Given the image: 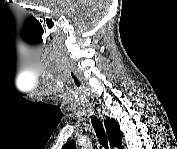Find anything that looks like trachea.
<instances>
[{
    "label": "trachea",
    "instance_id": "trachea-1",
    "mask_svg": "<svg viewBox=\"0 0 177 149\" xmlns=\"http://www.w3.org/2000/svg\"><path fill=\"white\" fill-rule=\"evenodd\" d=\"M91 123H92V126L94 128V131H95V133L98 137V140H99L100 144L105 149H108V141H107L106 135L104 133L102 123L100 122V120L95 115L91 116Z\"/></svg>",
    "mask_w": 177,
    "mask_h": 149
}]
</instances>
